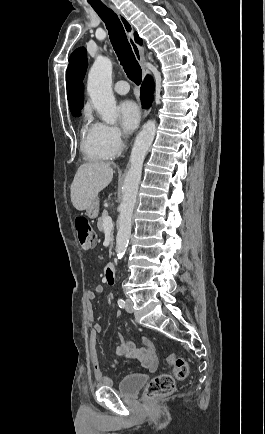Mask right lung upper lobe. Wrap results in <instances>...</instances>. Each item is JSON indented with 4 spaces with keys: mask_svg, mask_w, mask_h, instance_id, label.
I'll return each mask as SVG.
<instances>
[{
    "mask_svg": "<svg viewBox=\"0 0 265 434\" xmlns=\"http://www.w3.org/2000/svg\"><path fill=\"white\" fill-rule=\"evenodd\" d=\"M135 41L142 43L137 32L134 33ZM87 53L85 48L76 49L69 58V65L66 72L67 97L69 106L77 103H83L84 85L82 83L86 73Z\"/></svg>",
    "mask_w": 265,
    "mask_h": 434,
    "instance_id": "1",
    "label": "right lung upper lobe"
}]
</instances>
